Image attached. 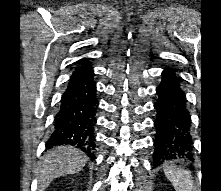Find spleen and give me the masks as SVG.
I'll return each mask as SVG.
<instances>
[{
    "label": "spleen",
    "instance_id": "3e777b00",
    "mask_svg": "<svg viewBox=\"0 0 221 191\" xmlns=\"http://www.w3.org/2000/svg\"><path fill=\"white\" fill-rule=\"evenodd\" d=\"M164 173L175 191H194L191 173L173 163H166Z\"/></svg>",
    "mask_w": 221,
    "mask_h": 191
}]
</instances>
